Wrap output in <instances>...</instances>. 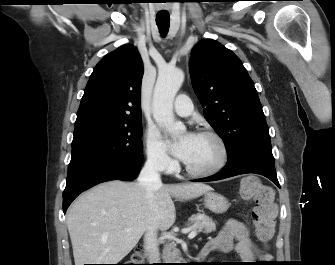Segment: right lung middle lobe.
I'll list each match as a JSON object with an SVG mask.
<instances>
[{
	"instance_id": "dd1d6c3e",
	"label": "right lung middle lobe",
	"mask_w": 335,
	"mask_h": 265,
	"mask_svg": "<svg viewBox=\"0 0 335 265\" xmlns=\"http://www.w3.org/2000/svg\"><path fill=\"white\" fill-rule=\"evenodd\" d=\"M68 172L91 163L132 164L142 160V121L75 128Z\"/></svg>"
}]
</instances>
